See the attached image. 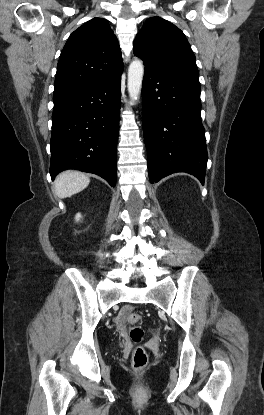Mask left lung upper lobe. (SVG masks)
Returning a JSON list of instances; mask_svg holds the SVG:
<instances>
[{"label":"left lung upper lobe","instance_id":"left-lung-upper-lobe-1","mask_svg":"<svg viewBox=\"0 0 264 415\" xmlns=\"http://www.w3.org/2000/svg\"><path fill=\"white\" fill-rule=\"evenodd\" d=\"M134 55L144 61L145 69L199 80L195 56L184 33L160 17L146 20L134 41Z\"/></svg>","mask_w":264,"mask_h":415}]
</instances>
